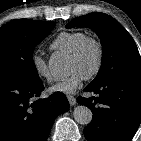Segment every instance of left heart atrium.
Returning a JSON list of instances; mask_svg holds the SVG:
<instances>
[{
    "mask_svg": "<svg viewBox=\"0 0 141 141\" xmlns=\"http://www.w3.org/2000/svg\"><path fill=\"white\" fill-rule=\"evenodd\" d=\"M85 77L78 71H72L68 77L57 82L51 88V92L71 94L82 84Z\"/></svg>",
    "mask_w": 141,
    "mask_h": 141,
    "instance_id": "left-heart-atrium-1",
    "label": "left heart atrium"
}]
</instances>
